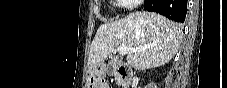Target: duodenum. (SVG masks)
<instances>
[{"label": "duodenum", "mask_w": 227, "mask_h": 88, "mask_svg": "<svg viewBox=\"0 0 227 88\" xmlns=\"http://www.w3.org/2000/svg\"><path fill=\"white\" fill-rule=\"evenodd\" d=\"M111 64L115 69H117L124 85L127 87H135V83L133 82V74L124 61L114 60L111 62Z\"/></svg>", "instance_id": "1"}]
</instances>
